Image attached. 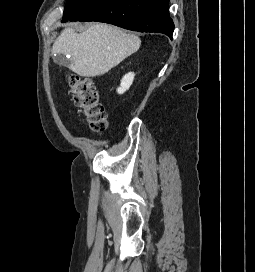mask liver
Returning <instances> with one entry per match:
<instances>
[{"label": "liver", "mask_w": 255, "mask_h": 272, "mask_svg": "<svg viewBox=\"0 0 255 272\" xmlns=\"http://www.w3.org/2000/svg\"><path fill=\"white\" fill-rule=\"evenodd\" d=\"M141 40L114 26L95 23L78 33L65 28L52 46V52L69 56L68 68L82 77L103 75L136 52Z\"/></svg>", "instance_id": "1"}]
</instances>
